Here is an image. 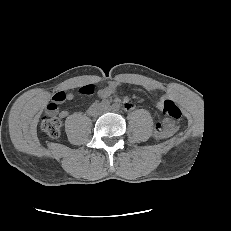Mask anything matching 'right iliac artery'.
<instances>
[{"instance_id": "82829eb1", "label": "right iliac artery", "mask_w": 231, "mask_h": 231, "mask_svg": "<svg viewBox=\"0 0 231 231\" xmlns=\"http://www.w3.org/2000/svg\"><path fill=\"white\" fill-rule=\"evenodd\" d=\"M104 105L106 106V105H108V103L106 102V103H104Z\"/></svg>"}]
</instances>
